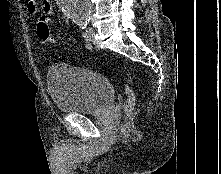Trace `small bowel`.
Returning a JSON list of instances; mask_svg holds the SVG:
<instances>
[{
	"label": "small bowel",
	"mask_w": 221,
	"mask_h": 174,
	"mask_svg": "<svg viewBox=\"0 0 221 174\" xmlns=\"http://www.w3.org/2000/svg\"><path fill=\"white\" fill-rule=\"evenodd\" d=\"M25 8L30 15L38 13V4L36 0H25ZM42 11L47 15L53 13V4L51 0H42Z\"/></svg>",
	"instance_id": "1"
}]
</instances>
